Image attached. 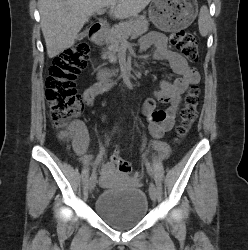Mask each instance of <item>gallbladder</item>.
<instances>
[{
  "instance_id": "gallbladder-1",
  "label": "gallbladder",
  "mask_w": 248,
  "mask_h": 250,
  "mask_svg": "<svg viewBox=\"0 0 248 250\" xmlns=\"http://www.w3.org/2000/svg\"><path fill=\"white\" fill-rule=\"evenodd\" d=\"M83 37V34L78 35V39H81Z\"/></svg>"
}]
</instances>
